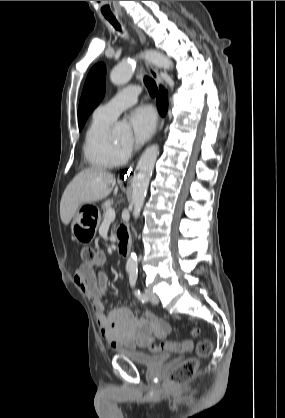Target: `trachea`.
Listing matches in <instances>:
<instances>
[{
  "label": "trachea",
  "mask_w": 285,
  "mask_h": 418,
  "mask_svg": "<svg viewBox=\"0 0 285 418\" xmlns=\"http://www.w3.org/2000/svg\"><path fill=\"white\" fill-rule=\"evenodd\" d=\"M108 19V21L114 26L115 29L117 30H121L120 24L118 23V21L116 20V18L114 17H106ZM144 83L148 89V92L151 96L155 97L157 94V86L156 83L154 82L153 79L145 76L144 77Z\"/></svg>",
  "instance_id": "3493384b"
}]
</instances>
